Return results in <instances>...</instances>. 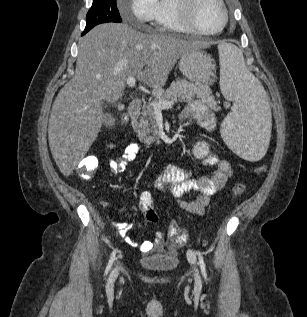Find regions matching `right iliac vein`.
<instances>
[{"label": "right iliac vein", "instance_id": "obj_1", "mask_svg": "<svg viewBox=\"0 0 307 317\" xmlns=\"http://www.w3.org/2000/svg\"><path fill=\"white\" fill-rule=\"evenodd\" d=\"M118 275H119V267H116V268L112 271V273H111V275H110L109 281H110L111 283H113V282L116 280V278L118 277Z\"/></svg>", "mask_w": 307, "mask_h": 317}]
</instances>
